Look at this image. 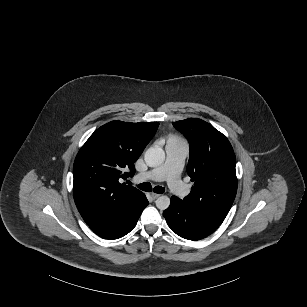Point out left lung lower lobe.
Returning a JSON list of instances; mask_svg holds the SVG:
<instances>
[{
    "instance_id": "0a47b994",
    "label": "left lung lower lobe",
    "mask_w": 307,
    "mask_h": 307,
    "mask_svg": "<svg viewBox=\"0 0 307 307\" xmlns=\"http://www.w3.org/2000/svg\"><path fill=\"white\" fill-rule=\"evenodd\" d=\"M163 215L172 231L189 240L205 238L219 226L199 216L175 196L171 197L170 206Z\"/></svg>"
}]
</instances>
